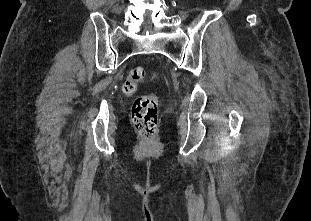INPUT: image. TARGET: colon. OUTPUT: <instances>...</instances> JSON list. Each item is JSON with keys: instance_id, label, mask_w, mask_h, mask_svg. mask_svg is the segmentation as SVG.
<instances>
[{"instance_id": "obj_1", "label": "colon", "mask_w": 311, "mask_h": 221, "mask_svg": "<svg viewBox=\"0 0 311 221\" xmlns=\"http://www.w3.org/2000/svg\"><path fill=\"white\" fill-rule=\"evenodd\" d=\"M144 78V68L135 67L125 78L122 91L127 96L133 95ZM131 119L134 128L144 136L145 141H154L158 121V100L154 95H143L135 99Z\"/></svg>"}]
</instances>
